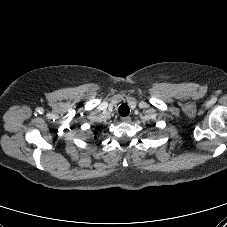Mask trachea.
<instances>
[{
	"label": "trachea",
	"instance_id": "1",
	"mask_svg": "<svg viewBox=\"0 0 227 227\" xmlns=\"http://www.w3.org/2000/svg\"><path fill=\"white\" fill-rule=\"evenodd\" d=\"M118 112L120 116H127L130 112L129 106L127 104L120 105V107L118 108Z\"/></svg>",
	"mask_w": 227,
	"mask_h": 227
}]
</instances>
